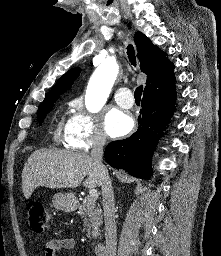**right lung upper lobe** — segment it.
I'll list each match as a JSON object with an SVG mask.
<instances>
[{"label":"right lung upper lobe","mask_w":221,"mask_h":256,"mask_svg":"<svg viewBox=\"0 0 221 256\" xmlns=\"http://www.w3.org/2000/svg\"><path fill=\"white\" fill-rule=\"evenodd\" d=\"M141 71L147 75L144 94L163 92L174 88V65L157 46L153 45L148 37L137 32L134 38ZM80 68H73L64 74L52 87L45 99L63 94L79 76ZM44 99V100H45Z\"/></svg>","instance_id":"1"}]
</instances>
